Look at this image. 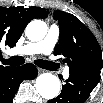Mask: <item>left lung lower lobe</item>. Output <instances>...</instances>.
<instances>
[{"instance_id":"obj_1","label":"left lung lower lobe","mask_w":103,"mask_h":103,"mask_svg":"<svg viewBox=\"0 0 103 103\" xmlns=\"http://www.w3.org/2000/svg\"><path fill=\"white\" fill-rule=\"evenodd\" d=\"M100 80L99 69L70 71L61 94L48 103H84Z\"/></svg>"}]
</instances>
